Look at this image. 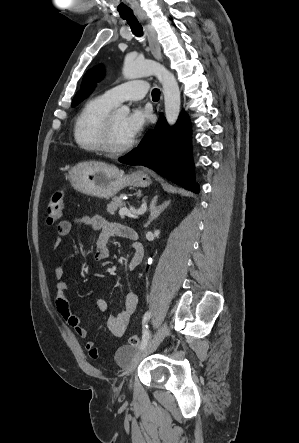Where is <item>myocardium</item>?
I'll use <instances>...</instances> for the list:
<instances>
[{
    "instance_id": "1",
    "label": "myocardium",
    "mask_w": 299,
    "mask_h": 443,
    "mask_svg": "<svg viewBox=\"0 0 299 443\" xmlns=\"http://www.w3.org/2000/svg\"><path fill=\"white\" fill-rule=\"evenodd\" d=\"M113 129H114L113 113H109L105 119L102 129V135H101L102 151L112 156H118L130 151L135 145V140L133 139L128 144L122 147H116L113 144Z\"/></svg>"
}]
</instances>
